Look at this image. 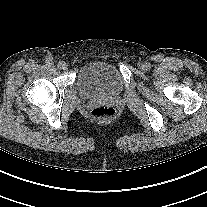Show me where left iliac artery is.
<instances>
[{
  "label": "left iliac artery",
  "instance_id": "obj_1",
  "mask_svg": "<svg viewBox=\"0 0 207 207\" xmlns=\"http://www.w3.org/2000/svg\"><path fill=\"white\" fill-rule=\"evenodd\" d=\"M146 67H147V69H150L151 68V66H150L149 63H146Z\"/></svg>",
  "mask_w": 207,
  "mask_h": 207
}]
</instances>
